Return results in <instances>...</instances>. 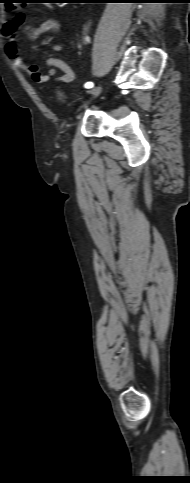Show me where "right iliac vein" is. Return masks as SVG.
Segmentation results:
<instances>
[{
  "instance_id": "63e3f726",
  "label": "right iliac vein",
  "mask_w": 190,
  "mask_h": 483,
  "mask_svg": "<svg viewBox=\"0 0 190 483\" xmlns=\"http://www.w3.org/2000/svg\"><path fill=\"white\" fill-rule=\"evenodd\" d=\"M100 90H101V87H97V88H95L93 90L88 91V94L90 96H94V95H97L100 92Z\"/></svg>"
}]
</instances>
